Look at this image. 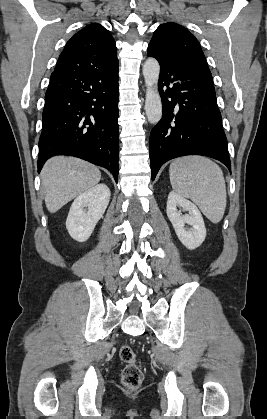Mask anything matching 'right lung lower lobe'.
<instances>
[{"label":"right lung lower lobe","mask_w":267,"mask_h":419,"mask_svg":"<svg viewBox=\"0 0 267 419\" xmlns=\"http://www.w3.org/2000/svg\"><path fill=\"white\" fill-rule=\"evenodd\" d=\"M118 62L95 70L54 71L45 94L38 172L71 155L118 176Z\"/></svg>","instance_id":"1"}]
</instances>
